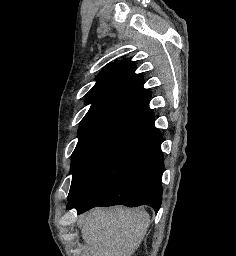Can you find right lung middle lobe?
<instances>
[{
  "label": "right lung middle lobe",
  "mask_w": 236,
  "mask_h": 256,
  "mask_svg": "<svg viewBox=\"0 0 236 256\" xmlns=\"http://www.w3.org/2000/svg\"><path fill=\"white\" fill-rule=\"evenodd\" d=\"M153 126L148 122L119 116L81 123L79 140L72 154L69 199L74 198L106 162Z\"/></svg>",
  "instance_id": "right-lung-middle-lobe-1"
}]
</instances>
